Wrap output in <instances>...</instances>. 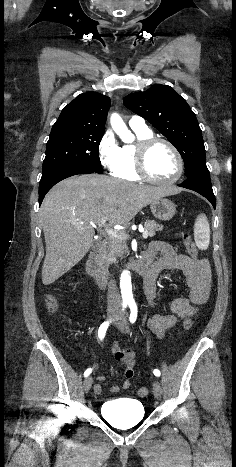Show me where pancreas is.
<instances>
[{
	"label": "pancreas",
	"instance_id": "obj_1",
	"mask_svg": "<svg viewBox=\"0 0 236 467\" xmlns=\"http://www.w3.org/2000/svg\"><path fill=\"white\" fill-rule=\"evenodd\" d=\"M146 230L148 232V236L153 237L155 236L157 231L163 230V226L159 225L154 220H147L145 223ZM128 247L126 246L125 239H119L115 237H110L108 241V247L104 254V261L106 265H110L111 263L116 262L117 257H123L124 254L127 252Z\"/></svg>",
	"mask_w": 236,
	"mask_h": 467
}]
</instances>
